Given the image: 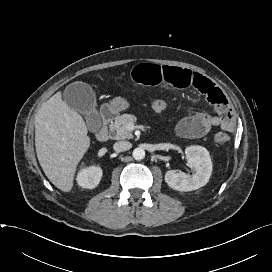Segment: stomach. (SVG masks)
Masks as SVG:
<instances>
[{
	"mask_svg": "<svg viewBox=\"0 0 272 272\" xmlns=\"http://www.w3.org/2000/svg\"><path fill=\"white\" fill-rule=\"evenodd\" d=\"M110 108L115 111V112H120L127 110L130 107L129 102L122 98V97H115L111 102H110Z\"/></svg>",
	"mask_w": 272,
	"mask_h": 272,
	"instance_id": "1",
	"label": "stomach"
}]
</instances>
